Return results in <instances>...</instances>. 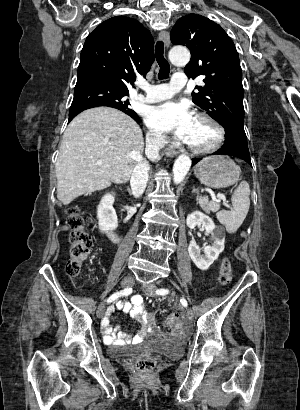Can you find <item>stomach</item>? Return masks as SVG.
<instances>
[{
    "instance_id": "1",
    "label": "stomach",
    "mask_w": 300,
    "mask_h": 410,
    "mask_svg": "<svg viewBox=\"0 0 300 410\" xmlns=\"http://www.w3.org/2000/svg\"><path fill=\"white\" fill-rule=\"evenodd\" d=\"M202 184L211 188H224L239 180V167L227 156L219 155L204 159L194 169Z\"/></svg>"
}]
</instances>
